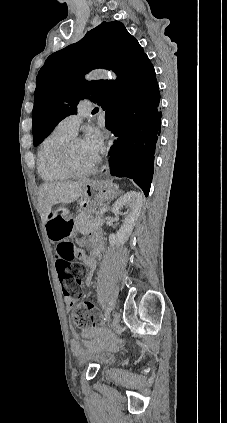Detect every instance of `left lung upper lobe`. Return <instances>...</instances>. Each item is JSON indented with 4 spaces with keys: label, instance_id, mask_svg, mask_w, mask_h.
I'll return each instance as SVG.
<instances>
[{
    "label": "left lung upper lobe",
    "instance_id": "left-lung-upper-lobe-1",
    "mask_svg": "<svg viewBox=\"0 0 227 423\" xmlns=\"http://www.w3.org/2000/svg\"><path fill=\"white\" fill-rule=\"evenodd\" d=\"M95 68L113 70L118 79L85 81L84 74ZM152 71L143 48L119 21L103 22L79 42L53 53L36 78L34 145L75 114L81 99H91L106 111L127 108L133 91Z\"/></svg>",
    "mask_w": 227,
    "mask_h": 423
}]
</instances>
